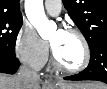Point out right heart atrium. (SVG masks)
I'll return each mask as SVG.
<instances>
[{
    "label": "right heart atrium",
    "mask_w": 107,
    "mask_h": 89,
    "mask_svg": "<svg viewBox=\"0 0 107 89\" xmlns=\"http://www.w3.org/2000/svg\"><path fill=\"white\" fill-rule=\"evenodd\" d=\"M15 52L23 63L38 70L46 64L49 48L31 25L23 24L16 36Z\"/></svg>",
    "instance_id": "1"
}]
</instances>
